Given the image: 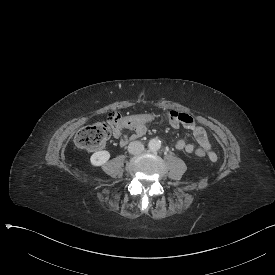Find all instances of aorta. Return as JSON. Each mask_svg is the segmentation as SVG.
I'll return each instance as SVG.
<instances>
[{"label": "aorta", "instance_id": "1", "mask_svg": "<svg viewBox=\"0 0 275 275\" xmlns=\"http://www.w3.org/2000/svg\"><path fill=\"white\" fill-rule=\"evenodd\" d=\"M148 147L152 152L158 151L161 148V141L159 139H151Z\"/></svg>", "mask_w": 275, "mask_h": 275}]
</instances>
